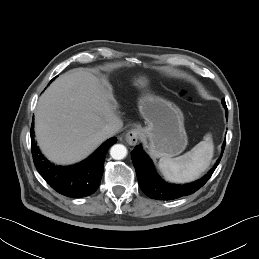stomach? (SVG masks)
<instances>
[{"label":"stomach","mask_w":259,"mask_h":259,"mask_svg":"<svg viewBox=\"0 0 259 259\" xmlns=\"http://www.w3.org/2000/svg\"><path fill=\"white\" fill-rule=\"evenodd\" d=\"M140 77L136 84L146 85ZM139 110L147 122L142 134L149 139L150 154L158 157H173L180 154L187 145L184 118L181 110L173 103L153 95L143 96Z\"/></svg>","instance_id":"obj_1"}]
</instances>
